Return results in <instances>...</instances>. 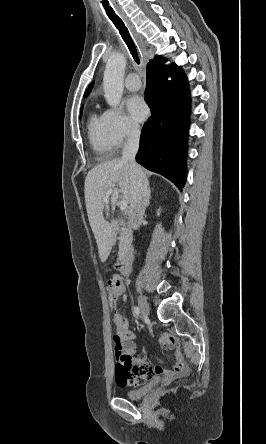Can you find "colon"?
Returning a JSON list of instances; mask_svg holds the SVG:
<instances>
[{"mask_svg": "<svg viewBox=\"0 0 266 444\" xmlns=\"http://www.w3.org/2000/svg\"><path fill=\"white\" fill-rule=\"evenodd\" d=\"M109 285V293H108V304L109 308L111 309L112 313H116L117 310V300L119 297L120 289H121V283L116 280H110L108 282Z\"/></svg>", "mask_w": 266, "mask_h": 444, "instance_id": "colon-1", "label": "colon"}]
</instances>
